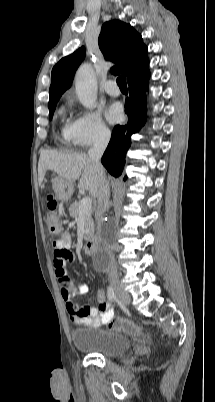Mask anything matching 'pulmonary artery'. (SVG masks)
<instances>
[{
  "mask_svg": "<svg viewBox=\"0 0 215 402\" xmlns=\"http://www.w3.org/2000/svg\"><path fill=\"white\" fill-rule=\"evenodd\" d=\"M105 91L111 96H118L120 94L119 87L113 80H108L104 84Z\"/></svg>",
  "mask_w": 215,
  "mask_h": 402,
  "instance_id": "1",
  "label": "pulmonary artery"
}]
</instances>
